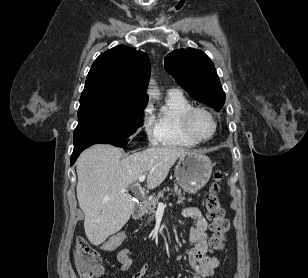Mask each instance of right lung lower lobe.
Masks as SVG:
<instances>
[{
	"mask_svg": "<svg viewBox=\"0 0 308 278\" xmlns=\"http://www.w3.org/2000/svg\"><path fill=\"white\" fill-rule=\"evenodd\" d=\"M91 146L90 144L87 145H80V146H76L74 147V151L71 155V165L74 164V162L76 161V159L78 158V156L80 155V153L86 149L87 147Z\"/></svg>",
	"mask_w": 308,
	"mask_h": 278,
	"instance_id": "1",
	"label": "right lung lower lobe"
}]
</instances>
